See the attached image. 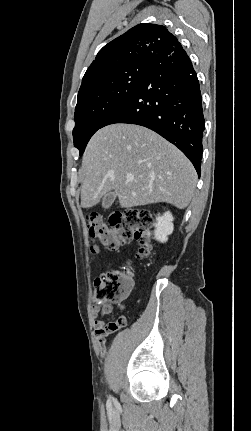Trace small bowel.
Wrapping results in <instances>:
<instances>
[{
  "instance_id": "1",
  "label": "small bowel",
  "mask_w": 251,
  "mask_h": 431,
  "mask_svg": "<svg viewBox=\"0 0 251 431\" xmlns=\"http://www.w3.org/2000/svg\"><path fill=\"white\" fill-rule=\"evenodd\" d=\"M100 312H102V314L109 313L105 309H103L101 311V309H100L99 306H95L93 308V310H92V317H93L94 330H95L96 338H97L99 344L102 346L101 347V352L102 353H107L108 352V347L107 346H103L104 342H105V338H106V336H108L109 334H111L112 332H114L116 330H111V329L108 328L109 324H106V322L104 321V319L102 317H100Z\"/></svg>"
}]
</instances>
